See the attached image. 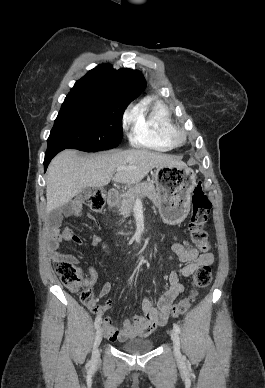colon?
Instances as JSON below:
<instances>
[{
  "mask_svg": "<svg viewBox=\"0 0 265 388\" xmlns=\"http://www.w3.org/2000/svg\"><path fill=\"white\" fill-rule=\"evenodd\" d=\"M107 193L103 189H98L90 194L84 204L94 212L100 211L105 203ZM211 202L205 194L201 182H198L192 195V214L189 223V231L192 242L203 253H208L210 244L208 234L205 229L208 220ZM55 271L63 284L73 292H80V299L85 304H90L93 299L92 290L85 286L82 271L75 264L58 260L54 264ZM212 280V269L209 265L200 266L192 278L193 290L187 299H184L171 308V316L177 317L185 313L196 297V290L207 287Z\"/></svg>",
  "mask_w": 265,
  "mask_h": 388,
  "instance_id": "1",
  "label": "colon"
}]
</instances>
